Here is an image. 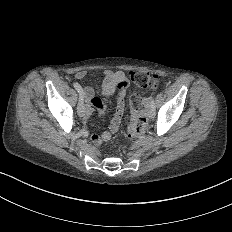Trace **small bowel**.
Segmentation results:
<instances>
[{
    "mask_svg": "<svg viewBox=\"0 0 232 232\" xmlns=\"http://www.w3.org/2000/svg\"><path fill=\"white\" fill-rule=\"evenodd\" d=\"M87 73L84 69H79L75 71V77L78 80L85 79ZM101 90L103 95H110L114 88L118 87L120 89V93L117 100V109L115 113V117L113 120V124L111 127V131L116 132L119 128V122L122 116V111L124 108V97L126 90L130 86V79L127 74L123 70H118L117 72H113L110 69H105L102 71L101 77ZM84 94L86 97V108L84 111V117L87 118L94 112H96L99 116H103L105 113L104 106L96 95L95 88L93 86L87 85L84 87ZM111 135L109 133H104L102 135H93L92 141L96 145H100L104 142L109 141Z\"/></svg>",
    "mask_w": 232,
    "mask_h": 232,
    "instance_id": "1",
    "label": "small bowel"
}]
</instances>
